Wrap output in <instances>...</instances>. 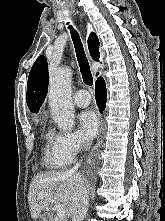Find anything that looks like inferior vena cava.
<instances>
[{"label": "inferior vena cava", "instance_id": "obj_1", "mask_svg": "<svg viewBox=\"0 0 165 221\" xmlns=\"http://www.w3.org/2000/svg\"><path fill=\"white\" fill-rule=\"evenodd\" d=\"M79 164L72 167L66 174L71 175L75 180V190L71 203V218L72 221H83L89 204V197L84 181L81 175L78 174Z\"/></svg>", "mask_w": 165, "mask_h": 221}]
</instances>
